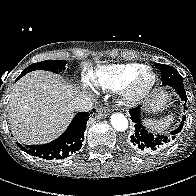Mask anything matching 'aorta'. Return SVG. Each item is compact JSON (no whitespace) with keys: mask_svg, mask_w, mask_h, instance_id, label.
<instances>
[{"mask_svg":"<svg viewBox=\"0 0 196 196\" xmlns=\"http://www.w3.org/2000/svg\"><path fill=\"white\" fill-rule=\"evenodd\" d=\"M111 125L117 131H125L128 128V119L121 113L111 115Z\"/></svg>","mask_w":196,"mask_h":196,"instance_id":"1","label":"aorta"}]
</instances>
